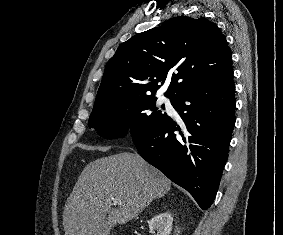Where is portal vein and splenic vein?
Here are the masks:
<instances>
[{"instance_id":"obj_1","label":"portal vein and splenic vein","mask_w":283,"mask_h":235,"mask_svg":"<svg viewBox=\"0 0 283 235\" xmlns=\"http://www.w3.org/2000/svg\"><path fill=\"white\" fill-rule=\"evenodd\" d=\"M113 202H114V204H118L120 202V200L118 198H113Z\"/></svg>"}]
</instances>
